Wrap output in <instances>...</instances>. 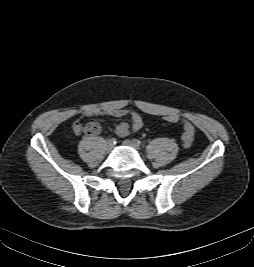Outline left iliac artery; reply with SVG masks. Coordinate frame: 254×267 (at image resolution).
<instances>
[{"instance_id":"obj_1","label":"left iliac artery","mask_w":254,"mask_h":267,"mask_svg":"<svg viewBox=\"0 0 254 267\" xmlns=\"http://www.w3.org/2000/svg\"><path fill=\"white\" fill-rule=\"evenodd\" d=\"M133 142L136 145V147H138V148L142 146V142L138 139H134Z\"/></svg>"}]
</instances>
